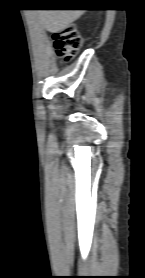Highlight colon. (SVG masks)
<instances>
[{"label": "colon", "mask_w": 145, "mask_h": 278, "mask_svg": "<svg viewBox=\"0 0 145 278\" xmlns=\"http://www.w3.org/2000/svg\"><path fill=\"white\" fill-rule=\"evenodd\" d=\"M52 39L57 56L64 63L72 62L81 45V37L75 26L70 24L54 32Z\"/></svg>", "instance_id": "colon-1"}]
</instances>
